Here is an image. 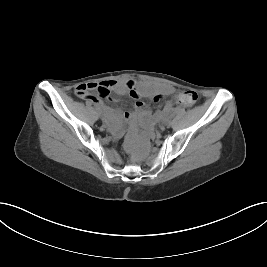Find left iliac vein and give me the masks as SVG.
I'll list each match as a JSON object with an SVG mask.
<instances>
[{"label":"left iliac vein","mask_w":267,"mask_h":267,"mask_svg":"<svg viewBox=\"0 0 267 267\" xmlns=\"http://www.w3.org/2000/svg\"><path fill=\"white\" fill-rule=\"evenodd\" d=\"M163 126L164 127H168L169 126V123L165 122V123H163Z\"/></svg>","instance_id":"left-iliac-vein-1"}]
</instances>
